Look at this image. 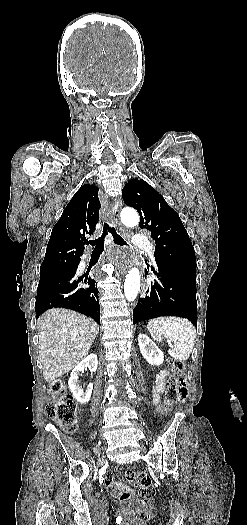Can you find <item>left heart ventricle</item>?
<instances>
[{"label": "left heart ventricle", "mask_w": 247, "mask_h": 525, "mask_svg": "<svg viewBox=\"0 0 247 525\" xmlns=\"http://www.w3.org/2000/svg\"><path fill=\"white\" fill-rule=\"evenodd\" d=\"M139 264H130L129 265V268H136L138 267ZM120 324H124V323H120Z\"/></svg>", "instance_id": "left-heart-ventricle-1"}]
</instances>
